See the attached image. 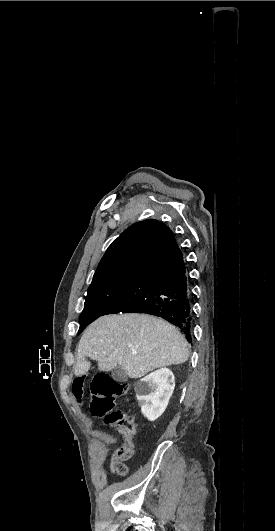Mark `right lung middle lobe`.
Returning a JSON list of instances; mask_svg holds the SVG:
<instances>
[{
  "label": "right lung middle lobe",
  "instance_id": "dd1d6c3e",
  "mask_svg": "<svg viewBox=\"0 0 275 531\" xmlns=\"http://www.w3.org/2000/svg\"><path fill=\"white\" fill-rule=\"evenodd\" d=\"M145 267H128L92 281L80 315L78 333L102 316L136 282Z\"/></svg>",
  "mask_w": 275,
  "mask_h": 531
}]
</instances>
